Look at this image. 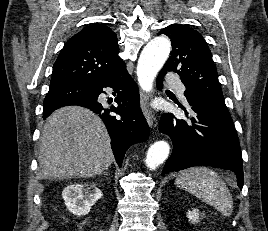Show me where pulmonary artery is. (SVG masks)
<instances>
[{
    "label": "pulmonary artery",
    "mask_w": 268,
    "mask_h": 231,
    "mask_svg": "<svg viewBox=\"0 0 268 231\" xmlns=\"http://www.w3.org/2000/svg\"><path fill=\"white\" fill-rule=\"evenodd\" d=\"M174 75L172 73L168 74V79H173ZM174 92L179 95L182 99H185V86L181 83H171Z\"/></svg>",
    "instance_id": "pulmonary-artery-1"
}]
</instances>
